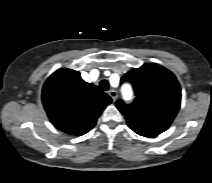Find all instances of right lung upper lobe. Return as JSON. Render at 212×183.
Returning a JSON list of instances; mask_svg holds the SVG:
<instances>
[{"instance_id":"cb5924a9","label":"right lung upper lobe","mask_w":212,"mask_h":183,"mask_svg":"<svg viewBox=\"0 0 212 183\" xmlns=\"http://www.w3.org/2000/svg\"><path fill=\"white\" fill-rule=\"evenodd\" d=\"M42 101L56 128L71 135H83L95 125L112 99L82 80L78 71L60 69L46 80Z\"/></svg>"}]
</instances>
